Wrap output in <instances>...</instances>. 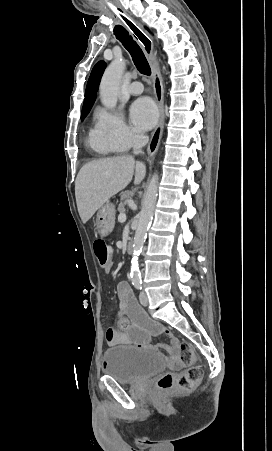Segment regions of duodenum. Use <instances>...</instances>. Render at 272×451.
Listing matches in <instances>:
<instances>
[{
    "label": "duodenum",
    "instance_id": "obj_1",
    "mask_svg": "<svg viewBox=\"0 0 272 451\" xmlns=\"http://www.w3.org/2000/svg\"><path fill=\"white\" fill-rule=\"evenodd\" d=\"M132 249H133V243H132V242H129V243L127 244V251H128V252H131Z\"/></svg>",
    "mask_w": 272,
    "mask_h": 451
}]
</instances>
